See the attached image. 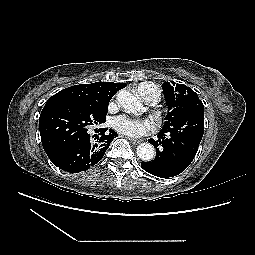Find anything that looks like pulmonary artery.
I'll return each instance as SVG.
<instances>
[{
  "label": "pulmonary artery",
  "mask_w": 255,
  "mask_h": 255,
  "mask_svg": "<svg viewBox=\"0 0 255 255\" xmlns=\"http://www.w3.org/2000/svg\"><path fill=\"white\" fill-rule=\"evenodd\" d=\"M137 94L144 102L150 105L156 104L160 100L158 92L148 83L141 84L137 89Z\"/></svg>",
  "instance_id": "pulmonary-artery-1"
}]
</instances>
